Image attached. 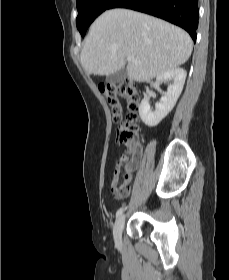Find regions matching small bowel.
I'll use <instances>...</instances> for the list:
<instances>
[{
    "label": "small bowel",
    "mask_w": 229,
    "mask_h": 280,
    "mask_svg": "<svg viewBox=\"0 0 229 280\" xmlns=\"http://www.w3.org/2000/svg\"><path fill=\"white\" fill-rule=\"evenodd\" d=\"M139 155H140V152L138 150L135 154V158H134L133 162L131 164L127 165V167H126L127 174H126L125 178H126L127 182H130L132 179V171L138 164ZM120 173H121L120 168L118 166L115 167V169L113 171V176H112V183H111L112 186H114L118 183ZM113 193H114L115 199L121 200L129 195L130 190L128 189L127 191H124V192H113Z\"/></svg>",
    "instance_id": "small-bowel-1"
}]
</instances>
